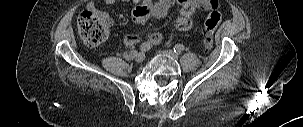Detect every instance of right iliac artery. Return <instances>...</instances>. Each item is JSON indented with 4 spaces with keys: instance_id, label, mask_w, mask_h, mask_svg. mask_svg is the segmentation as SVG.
Returning <instances> with one entry per match:
<instances>
[{
    "instance_id": "82829eb1",
    "label": "right iliac artery",
    "mask_w": 303,
    "mask_h": 127,
    "mask_svg": "<svg viewBox=\"0 0 303 127\" xmlns=\"http://www.w3.org/2000/svg\"><path fill=\"white\" fill-rule=\"evenodd\" d=\"M152 45L150 43H143L140 45V51L142 52H146L149 51L151 49Z\"/></svg>"
}]
</instances>
